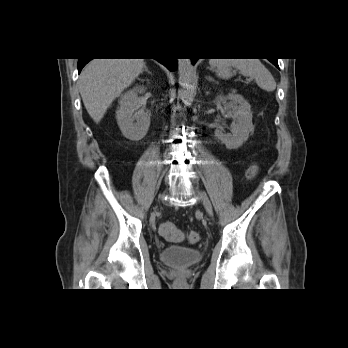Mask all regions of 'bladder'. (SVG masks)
Here are the masks:
<instances>
[{
  "instance_id": "obj_1",
  "label": "bladder",
  "mask_w": 348,
  "mask_h": 348,
  "mask_svg": "<svg viewBox=\"0 0 348 348\" xmlns=\"http://www.w3.org/2000/svg\"><path fill=\"white\" fill-rule=\"evenodd\" d=\"M159 259L162 263L178 267H186L199 262L202 252L197 248L173 245L164 248Z\"/></svg>"
}]
</instances>
